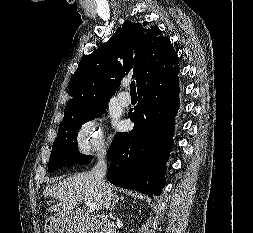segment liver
<instances>
[{
  "instance_id": "6515ba94",
  "label": "liver",
  "mask_w": 253,
  "mask_h": 233,
  "mask_svg": "<svg viewBox=\"0 0 253 233\" xmlns=\"http://www.w3.org/2000/svg\"><path fill=\"white\" fill-rule=\"evenodd\" d=\"M111 192L117 190L115 186L106 183ZM44 197H52L59 200V204L53 205L47 210L59 214L75 212V208L82 201L96 204L98 210L104 209V194L101 185L95 180L91 172H82L68 177L66 180L48 186ZM77 216V213H76Z\"/></svg>"
}]
</instances>
